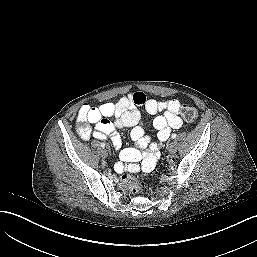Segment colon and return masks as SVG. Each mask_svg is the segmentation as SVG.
Masks as SVG:
<instances>
[{
    "instance_id": "5ec220e1",
    "label": "colon",
    "mask_w": 257,
    "mask_h": 257,
    "mask_svg": "<svg viewBox=\"0 0 257 257\" xmlns=\"http://www.w3.org/2000/svg\"><path fill=\"white\" fill-rule=\"evenodd\" d=\"M182 118L187 123H193L198 119L199 113L192 106H184L181 111ZM123 184L125 188L132 194H140L144 189V183L138 181L130 174L123 176Z\"/></svg>"
}]
</instances>
